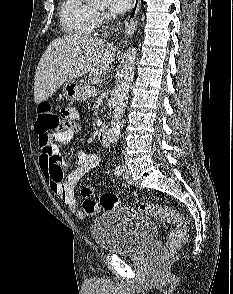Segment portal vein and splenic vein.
Instances as JSON below:
<instances>
[{"mask_svg": "<svg viewBox=\"0 0 233 294\" xmlns=\"http://www.w3.org/2000/svg\"><path fill=\"white\" fill-rule=\"evenodd\" d=\"M88 93L92 96H97V91L95 89H90Z\"/></svg>", "mask_w": 233, "mask_h": 294, "instance_id": "portal-vein-and-splenic-vein-1", "label": "portal vein and splenic vein"}]
</instances>
